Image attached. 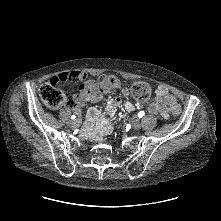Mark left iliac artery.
<instances>
[{"label":"left iliac artery","mask_w":221,"mask_h":221,"mask_svg":"<svg viewBox=\"0 0 221 221\" xmlns=\"http://www.w3.org/2000/svg\"><path fill=\"white\" fill-rule=\"evenodd\" d=\"M144 114H145V113H144L143 111H141V112L138 113V117L141 118V117L144 116Z\"/></svg>","instance_id":"left-iliac-artery-1"}]
</instances>
